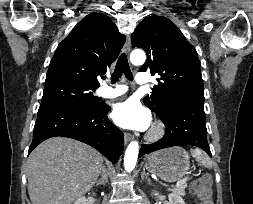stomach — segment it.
<instances>
[{
  "label": "stomach",
  "instance_id": "stomach-1",
  "mask_svg": "<svg viewBox=\"0 0 253 204\" xmlns=\"http://www.w3.org/2000/svg\"><path fill=\"white\" fill-rule=\"evenodd\" d=\"M145 168L166 182H175L188 173L190 157L182 147H172L150 154Z\"/></svg>",
  "mask_w": 253,
  "mask_h": 204
}]
</instances>
